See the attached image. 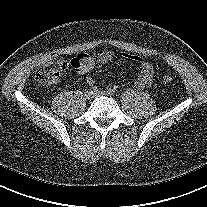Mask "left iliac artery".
Returning a JSON list of instances; mask_svg holds the SVG:
<instances>
[{
  "label": "left iliac artery",
  "mask_w": 207,
  "mask_h": 207,
  "mask_svg": "<svg viewBox=\"0 0 207 207\" xmlns=\"http://www.w3.org/2000/svg\"><path fill=\"white\" fill-rule=\"evenodd\" d=\"M107 93H108L109 95H114V94H115V91H114V89H108V90H107Z\"/></svg>",
  "instance_id": "1"
}]
</instances>
